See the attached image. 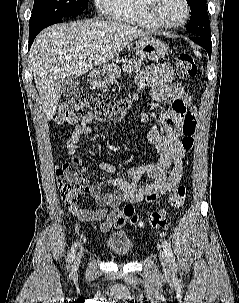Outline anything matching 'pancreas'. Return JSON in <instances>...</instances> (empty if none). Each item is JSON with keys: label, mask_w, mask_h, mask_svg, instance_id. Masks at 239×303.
<instances>
[{"label": "pancreas", "mask_w": 239, "mask_h": 303, "mask_svg": "<svg viewBox=\"0 0 239 303\" xmlns=\"http://www.w3.org/2000/svg\"><path fill=\"white\" fill-rule=\"evenodd\" d=\"M122 64V68L124 72L131 73L135 69L141 67L143 65V62L141 60H135V59H124Z\"/></svg>", "instance_id": "1"}]
</instances>
